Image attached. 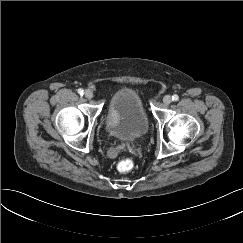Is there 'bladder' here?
Segmentation results:
<instances>
[{
    "label": "bladder",
    "mask_w": 243,
    "mask_h": 243,
    "mask_svg": "<svg viewBox=\"0 0 243 243\" xmlns=\"http://www.w3.org/2000/svg\"><path fill=\"white\" fill-rule=\"evenodd\" d=\"M108 133L123 141H133L144 136L149 129V119L138 93L121 89L110 99L105 116Z\"/></svg>",
    "instance_id": "obj_1"
}]
</instances>
